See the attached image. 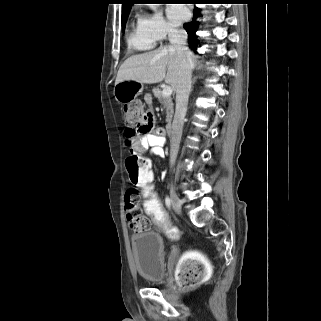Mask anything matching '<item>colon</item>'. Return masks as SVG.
Returning <instances> with one entry per match:
<instances>
[{"label":"colon","instance_id":"obj_1","mask_svg":"<svg viewBox=\"0 0 321 321\" xmlns=\"http://www.w3.org/2000/svg\"><path fill=\"white\" fill-rule=\"evenodd\" d=\"M123 120L126 132L134 136L150 132L154 124L153 114L138 101L124 105ZM125 164L131 183L142 189V192L137 188H129L126 191L125 209L129 227L134 231H144L150 227V221L156 222L169 238L178 239L179 231L170 223L164 212L161 196H158L157 191H153L156 181L151 173L150 161L130 152ZM141 197L144 198L142 207L146 216H150V220L142 215ZM208 275L207 264L200 257L194 255L184 257L180 261L176 273L177 280L183 288H191L200 284Z\"/></svg>","mask_w":321,"mask_h":321}]
</instances>
